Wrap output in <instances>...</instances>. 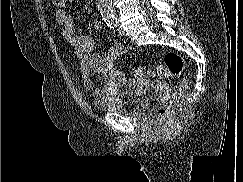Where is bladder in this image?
Returning <instances> with one entry per match:
<instances>
[{
    "label": "bladder",
    "instance_id": "1",
    "mask_svg": "<svg viewBox=\"0 0 243 182\" xmlns=\"http://www.w3.org/2000/svg\"><path fill=\"white\" fill-rule=\"evenodd\" d=\"M96 110L102 113H120L126 115H140L146 108V100L139 94L126 96L105 97L94 101Z\"/></svg>",
    "mask_w": 243,
    "mask_h": 182
}]
</instances>
